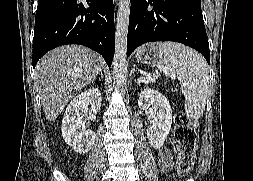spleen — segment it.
<instances>
[{
  "mask_svg": "<svg viewBox=\"0 0 253 181\" xmlns=\"http://www.w3.org/2000/svg\"><path fill=\"white\" fill-rule=\"evenodd\" d=\"M158 69L177 78L185 96L188 118L203 116L209 89V67L204 57L192 48L176 42L158 43Z\"/></svg>",
  "mask_w": 253,
  "mask_h": 181,
  "instance_id": "1",
  "label": "spleen"
}]
</instances>
